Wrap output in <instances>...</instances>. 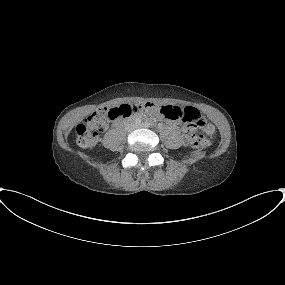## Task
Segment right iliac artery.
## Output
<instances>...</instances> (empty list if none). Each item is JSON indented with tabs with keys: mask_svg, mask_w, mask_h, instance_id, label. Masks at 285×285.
<instances>
[{
	"mask_svg": "<svg viewBox=\"0 0 285 285\" xmlns=\"http://www.w3.org/2000/svg\"><path fill=\"white\" fill-rule=\"evenodd\" d=\"M141 121L139 120V121H137V123H140Z\"/></svg>",
	"mask_w": 285,
	"mask_h": 285,
	"instance_id": "right-iliac-artery-1",
	"label": "right iliac artery"
}]
</instances>
